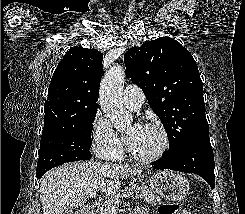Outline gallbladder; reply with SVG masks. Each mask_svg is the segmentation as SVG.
I'll use <instances>...</instances> for the list:
<instances>
[{"mask_svg": "<svg viewBox=\"0 0 245 214\" xmlns=\"http://www.w3.org/2000/svg\"><path fill=\"white\" fill-rule=\"evenodd\" d=\"M62 214H73V210L71 208L67 209V210L63 211Z\"/></svg>", "mask_w": 245, "mask_h": 214, "instance_id": "obj_1", "label": "gallbladder"}]
</instances>
